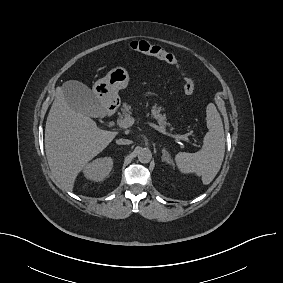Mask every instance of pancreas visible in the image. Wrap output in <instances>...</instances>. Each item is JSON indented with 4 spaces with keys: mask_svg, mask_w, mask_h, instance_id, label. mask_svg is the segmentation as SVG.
I'll return each instance as SVG.
<instances>
[{
    "mask_svg": "<svg viewBox=\"0 0 283 283\" xmlns=\"http://www.w3.org/2000/svg\"><path fill=\"white\" fill-rule=\"evenodd\" d=\"M132 113V108L128 103H123L122 105V114L119 115L118 121L127 118ZM151 116L157 121L160 127L165 128L169 125L167 122V117L165 114H161L160 107H153L151 110Z\"/></svg>",
    "mask_w": 283,
    "mask_h": 283,
    "instance_id": "pancreas-1",
    "label": "pancreas"
}]
</instances>
